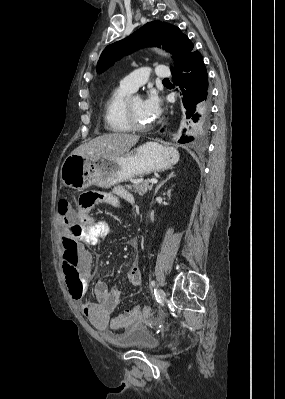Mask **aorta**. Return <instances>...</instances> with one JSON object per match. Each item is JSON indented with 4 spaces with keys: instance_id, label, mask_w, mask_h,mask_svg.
Returning <instances> with one entry per match:
<instances>
[{
    "instance_id": "obj_1",
    "label": "aorta",
    "mask_w": 285,
    "mask_h": 399,
    "mask_svg": "<svg viewBox=\"0 0 285 399\" xmlns=\"http://www.w3.org/2000/svg\"><path fill=\"white\" fill-rule=\"evenodd\" d=\"M155 51H157L158 53H160V54H162V55H164V56H167V55H168L167 53H165V52H163V51H161V50H158V49H155Z\"/></svg>"
}]
</instances>
